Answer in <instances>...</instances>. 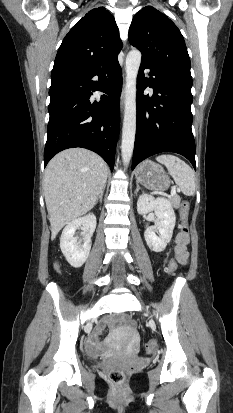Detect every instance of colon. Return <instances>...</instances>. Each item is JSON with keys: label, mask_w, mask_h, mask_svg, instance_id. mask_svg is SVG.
<instances>
[{"label": "colon", "mask_w": 233, "mask_h": 413, "mask_svg": "<svg viewBox=\"0 0 233 413\" xmlns=\"http://www.w3.org/2000/svg\"><path fill=\"white\" fill-rule=\"evenodd\" d=\"M181 226H180V234L187 238L188 237V232H189V226H188V217H189V203L184 201L181 203ZM177 267V261L175 259H172L168 265V272L173 273ZM156 349V342L155 341H149L146 345V351L148 353L154 352ZM109 376L112 381L116 383H120L124 380L125 378V372L124 370L120 368H114L110 371Z\"/></svg>", "instance_id": "1"}]
</instances>
